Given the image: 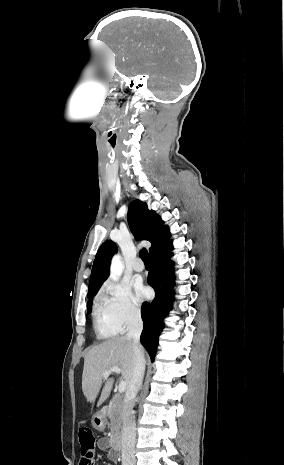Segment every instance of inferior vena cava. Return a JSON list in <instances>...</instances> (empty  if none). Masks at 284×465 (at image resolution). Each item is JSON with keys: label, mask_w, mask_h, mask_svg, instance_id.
I'll return each mask as SVG.
<instances>
[{"label": "inferior vena cava", "mask_w": 284, "mask_h": 465, "mask_svg": "<svg viewBox=\"0 0 284 465\" xmlns=\"http://www.w3.org/2000/svg\"><path fill=\"white\" fill-rule=\"evenodd\" d=\"M143 323L140 315L131 313L127 325V339L134 343L133 373L131 383H129L122 405V465H136L135 461V437L136 423L134 419L133 407L136 395L142 387L145 371V359L140 345V335Z\"/></svg>", "instance_id": "1"}]
</instances>
